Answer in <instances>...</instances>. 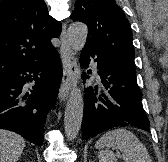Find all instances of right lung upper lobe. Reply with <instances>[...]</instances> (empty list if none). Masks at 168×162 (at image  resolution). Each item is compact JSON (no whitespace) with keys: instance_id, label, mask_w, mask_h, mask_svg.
<instances>
[{"instance_id":"obj_1","label":"right lung upper lobe","mask_w":168,"mask_h":162,"mask_svg":"<svg viewBox=\"0 0 168 162\" xmlns=\"http://www.w3.org/2000/svg\"><path fill=\"white\" fill-rule=\"evenodd\" d=\"M61 30L43 0H0V77L50 56Z\"/></svg>"}]
</instances>
